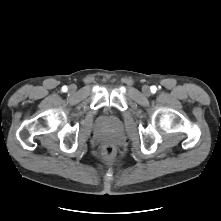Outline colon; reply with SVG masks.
Instances as JSON below:
<instances>
[{
  "label": "colon",
  "mask_w": 221,
  "mask_h": 221,
  "mask_svg": "<svg viewBox=\"0 0 221 221\" xmlns=\"http://www.w3.org/2000/svg\"><path fill=\"white\" fill-rule=\"evenodd\" d=\"M117 154V146L111 142L107 141L102 146V155L106 160H112Z\"/></svg>",
  "instance_id": "5ec220e1"
}]
</instances>
